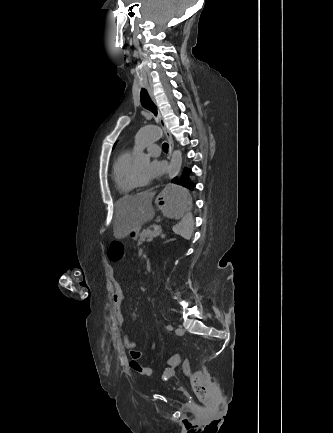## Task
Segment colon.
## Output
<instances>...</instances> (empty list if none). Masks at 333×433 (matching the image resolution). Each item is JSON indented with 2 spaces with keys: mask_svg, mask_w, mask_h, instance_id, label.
Here are the masks:
<instances>
[{
  "mask_svg": "<svg viewBox=\"0 0 333 433\" xmlns=\"http://www.w3.org/2000/svg\"><path fill=\"white\" fill-rule=\"evenodd\" d=\"M123 240H112L109 244L108 250L110 253L111 265H120L121 258L125 250ZM167 364L170 365V369L177 367L182 364L183 371L188 375L194 394L198 400L202 403H206L210 396L209 381L206 375L201 371H194L191 368L190 361L185 358L183 359L180 354H174L167 359ZM129 366L132 370L140 375H151L152 369L141 365L136 361H130ZM170 375V374H169Z\"/></svg>",
  "mask_w": 333,
  "mask_h": 433,
  "instance_id": "colon-1",
  "label": "colon"
}]
</instances>
